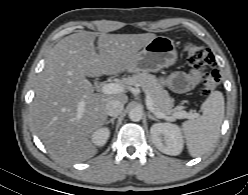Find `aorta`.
<instances>
[{"label":"aorta","instance_id":"1","mask_svg":"<svg viewBox=\"0 0 248 195\" xmlns=\"http://www.w3.org/2000/svg\"><path fill=\"white\" fill-rule=\"evenodd\" d=\"M128 116H129L131 121L138 122L142 119L143 112L140 108L135 107L129 111Z\"/></svg>","mask_w":248,"mask_h":195}]
</instances>
